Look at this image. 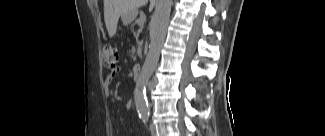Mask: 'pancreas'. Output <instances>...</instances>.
<instances>
[{"label": "pancreas", "mask_w": 325, "mask_h": 136, "mask_svg": "<svg viewBox=\"0 0 325 136\" xmlns=\"http://www.w3.org/2000/svg\"><path fill=\"white\" fill-rule=\"evenodd\" d=\"M136 23H137V21L134 23H132L131 24V26H130V28H128V33H130V34H132V37L134 38V39H137L138 37H139V34L136 32Z\"/></svg>", "instance_id": "obj_1"}]
</instances>
